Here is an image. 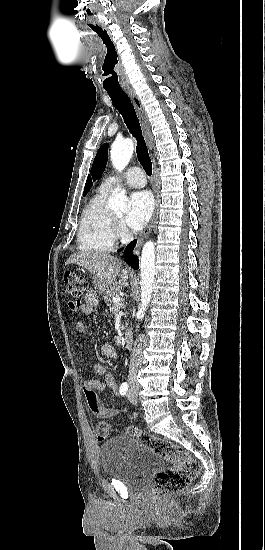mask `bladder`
<instances>
[{
    "label": "bladder",
    "mask_w": 265,
    "mask_h": 550,
    "mask_svg": "<svg viewBox=\"0 0 265 550\" xmlns=\"http://www.w3.org/2000/svg\"><path fill=\"white\" fill-rule=\"evenodd\" d=\"M103 473L135 487L144 482L159 466V458L137 437L119 435L99 448Z\"/></svg>",
    "instance_id": "1"
}]
</instances>
